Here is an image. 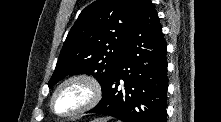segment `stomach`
I'll list each match as a JSON object with an SVG mask.
<instances>
[{
  "label": "stomach",
  "instance_id": "obj_1",
  "mask_svg": "<svg viewBox=\"0 0 221 122\" xmlns=\"http://www.w3.org/2000/svg\"><path fill=\"white\" fill-rule=\"evenodd\" d=\"M108 119L107 118H100V119H95L94 121L92 122H107Z\"/></svg>",
  "mask_w": 221,
  "mask_h": 122
}]
</instances>
